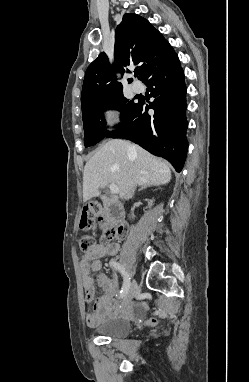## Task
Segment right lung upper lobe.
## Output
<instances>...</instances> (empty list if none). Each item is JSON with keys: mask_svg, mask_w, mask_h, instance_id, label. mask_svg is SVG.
<instances>
[{"mask_svg": "<svg viewBox=\"0 0 249 382\" xmlns=\"http://www.w3.org/2000/svg\"><path fill=\"white\" fill-rule=\"evenodd\" d=\"M174 53L171 45L149 21L136 14H124L115 32V66L110 65L104 52L89 65L82 87V109L95 100L123 94L122 84L116 82V70L123 74L129 63L138 64L144 81L152 67Z\"/></svg>", "mask_w": 249, "mask_h": 382, "instance_id": "1", "label": "right lung upper lobe"}]
</instances>
